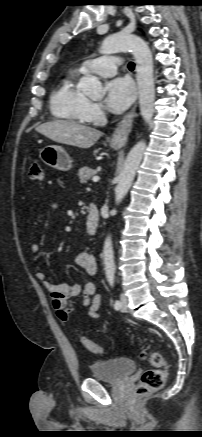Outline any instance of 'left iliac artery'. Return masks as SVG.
I'll return each instance as SVG.
<instances>
[{
  "label": "left iliac artery",
  "instance_id": "1",
  "mask_svg": "<svg viewBox=\"0 0 202 437\" xmlns=\"http://www.w3.org/2000/svg\"><path fill=\"white\" fill-rule=\"evenodd\" d=\"M108 282H109V284H110L111 287L114 286V278H113V277H109V278H108ZM120 306H121L120 301H119V300H116L115 303H114V308H115L116 310H118V309H120Z\"/></svg>",
  "mask_w": 202,
  "mask_h": 437
}]
</instances>
